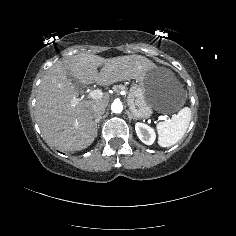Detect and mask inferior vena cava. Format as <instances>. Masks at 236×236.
Masks as SVG:
<instances>
[{"instance_id":"inferior-vena-cava-1","label":"inferior vena cava","mask_w":236,"mask_h":236,"mask_svg":"<svg viewBox=\"0 0 236 236\" xmlns=\"http://www.w3.org/2000/svg\"><path fill=\"white\" fill-rule=\"evenodd\" d=\"M92 110H93V118H95V122H98L101 115L105 113V106L93 105Z\"/></svg>"}]
</instances>
